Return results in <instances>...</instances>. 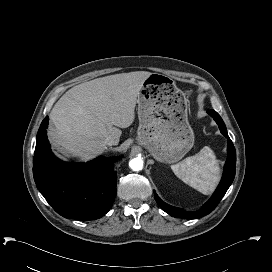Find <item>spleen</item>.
Returning <instances> with one entry per match:
<instances>
[{"label":"spleen","mask_w":272,"mask_h":272,"mask_svg":"<svg viewBox=\"0 0 272 272\" xmlns=\"http://www.w3.org/2000/svg\"><path fill=\"white\" fill-rule=\"evenodd\" d=\"M171 169L184 183L205 195L215 189L220 178L218 161L214 152L207 146L196 155L171 165Z\"/></svg>","instance_id":"obj_1"}]
</instances>
